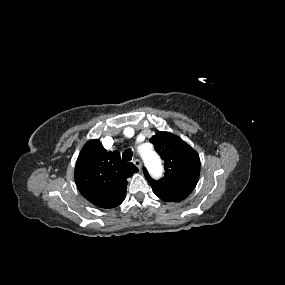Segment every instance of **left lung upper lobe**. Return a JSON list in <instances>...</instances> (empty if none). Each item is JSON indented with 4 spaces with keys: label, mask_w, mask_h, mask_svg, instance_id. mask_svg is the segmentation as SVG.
Instances as JSON below:
<instances>
[{
    "label": "left lung upper lobe",
    "mask_w": 285,
    "mask_h": 285,
    "mask_svg": "<svg viewBox=\"0 0 285 285\" xmlns=\"http://www.w3.org/2000/svg\"><path fill=\"white\" fill-rule=\"evenodd\" d=\"M150 142L164 160L165 175L153 180L144 168V175L151 187L191 193L200 173L199 155L181 138L169 132H157Z\"/></svg>",
    "instance_id": "obj_1"
}]
</instances>
